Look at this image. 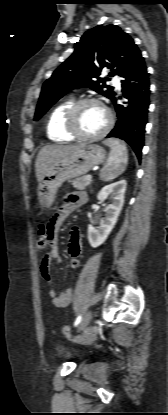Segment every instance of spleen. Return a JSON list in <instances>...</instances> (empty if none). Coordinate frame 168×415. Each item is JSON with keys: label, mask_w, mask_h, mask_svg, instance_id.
I'll return each mask as SVG.
<instances>
[{"label": "spleen", "mask_w": 168, "mask_h": 415, "mask_svg": "<svg viewBox=\"0 0 168 415\" xmlns=\"http://www.w3.org/2000/svg\"><path fill=\"white\" fill-rule=\"evenodd\" d=\"M103 144L110 147V154L106 165L100 172V179L104 182L111 181L121 175L128 163V150L119 139L109 138Z\"/></svg>", "instance_id": "1"}]
</instances>
